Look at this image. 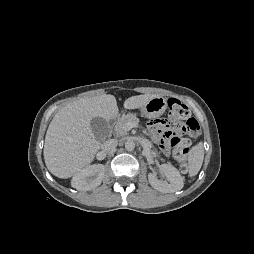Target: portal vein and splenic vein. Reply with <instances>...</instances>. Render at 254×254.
<instances>
[{
	"label": "portal vein and splenic vein",
	"mask_w": 254,
	"mask_h": 254,
	"mask_svg": "<svg viewBox=\"0 0 254 254\" xmlns=\"http://www.w3.org/2000/svg\"><path fill=\"white\" fill-rule=\"evenodd\" d=\"M125 129L127 130V131H129V130H131L133 127H136V124H133V123H127V124H125Z\"/></svg>",
	"instance_id": "portal-vein-and-splenic-vein-1"
}]
</instances>
